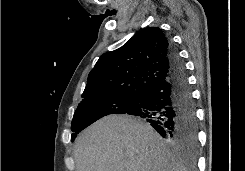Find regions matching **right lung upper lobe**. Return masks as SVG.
Wrapping results in <instances>:
<instances>
[{
  "label": "right lung upper lobe",
  "instance_id": "cb5924a9",
  "mask_svg": "<svg viewBox=\"0 0 245 171\" xmlns=\"http://www.w3.org/2000/svg\"><path fill=\"white\" fill-rule=\"evenodd\" d=\"M171 42L159 27H147L117 50L103 54L88 76L83 100L141 96L170 75Z\"/></svg>",
  "mask_w": 245,
  "mask_h": 171
}]
</instances>
